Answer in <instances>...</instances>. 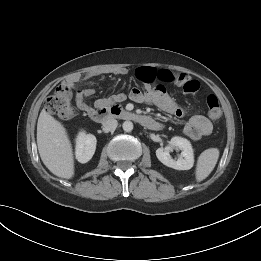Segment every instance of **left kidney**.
<instances>
[{
    "label": "left kidney",
    "instance_id": "1",
    "mask_svg": "<svg viewBox=\"0 0 261 261\" xmlns=\"http://www.w3.org/2000/svg\"><path fill=\"white\" fill-rule=\"evenodd\" d=\"M173 147H177L182 151L178 160H174L169 154V150ZM156 156L161 163L176 170H189L194 165V153L191 143L187 139L178 136L169 141V146L158 148Z\"/></svg>",
    "mask_w": 261,
    "mask_h": 261
}]
</instances>
